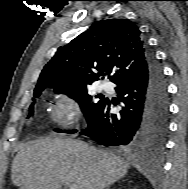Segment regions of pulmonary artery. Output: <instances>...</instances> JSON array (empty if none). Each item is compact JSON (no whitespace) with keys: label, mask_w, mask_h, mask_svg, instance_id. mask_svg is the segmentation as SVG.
<instances>
[{"label":"pulmonary artery","mask_w":188,"mask_h":189,"mask_svg":"<svg viewBox=\"0 0 188 189\" xmlns=\"http://www.w3.org/2000/svg\"><path fill=\"white\" fill-rule=\"evenodd\" d=\"M100 89L102 90H108V85L107 84H101Z\"/></svg>","instance_id":"obj_1"}]
</instances>
